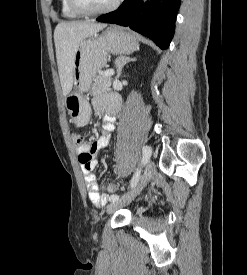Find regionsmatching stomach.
I'll return each instance as SVG.
<instances>
[{"label": "stomach", "mask_w": 247, "mask_h": 275, "mask_svg": "<svg viewBox=\"0 0 247 275\" xmlns=\"http://www.w3.org/2000/svg\"><path fill=\"white\" fill-rule=\"evenodd\" d=\"M138 49L136 38L115 26L79 43L74 59V88L65 98V106L77 126H85L90 120V106L83 93L91 88L97 70L106 66L108 53L130 54Z\"/></svg>", "instance_id": "1"}]
</instances>
